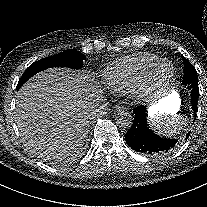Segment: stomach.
Segmentation results:
<instances>
[{
  "label": "stomach",
  "mask_w": 207,
  "mask_h": 207,
  "mask_svg": "<svg viewBox=\"0 0 207 207\" xmlns=\"http://www.w3.org/2000/svg\"><path fill=\"white\" fill-rule=\"evenodd\" d=\"M180 103L181 101L178 93L172 91L169 95L152 105L149 112L151 119L159 116L176 114L179 111Z\"/></svg>",
  "instance_id": "1"
}]
</instances>
